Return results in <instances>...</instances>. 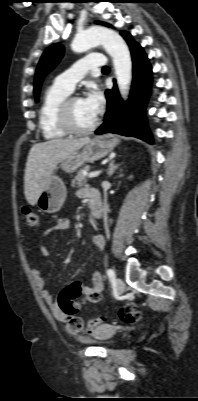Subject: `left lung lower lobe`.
I'll return each instance as SVG.
<instances>
[{
    "mask_svg": "<svg viewBox=\"0 0 198 401\" xmlns=\"http://www.w3.org/2000/svg\"><path fill=\"white\" fill-rule=\"evenodd\" d=\"M133 61V82L130 98L123 102L116 84L112 90H106L107 112L104 123L95 131L96 134L116 133L134 136L152 143L151 135L146 127L144 109L150 88L151 67L146 54L130 34H126Z\"/></svg>",
    "mask_w": 198,
    "mask_h": 401,
    "instance_id": "0a47b994",
    "label": "left lung lower lobe"
}]
</instances>
